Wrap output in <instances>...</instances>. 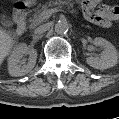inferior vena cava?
<instances>
[{
  "label": "inferior vena cava",
  "instance_id": "602c4592",
  "mask_svg": "<svg viewBox=\"0 0 119 119\" xmlns=\"http://www.w3.org/2000/svg\"><path fill=\"white\" fill-rule=\"evenodd\" d=\"M49 29H50V24L46 23V24H43V25L38 26L35 29L34 33L36 35H40V34L45 33L46 31H48Z\"/></svg>",
  "mask_w": 119,
  "mask_h": 119
}]
</instances>
